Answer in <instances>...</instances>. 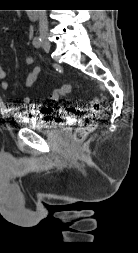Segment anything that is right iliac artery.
I'll return each mask as SVG.
<instances>
[{
  "label": "right iliac artery",
  "mask_w": 138,
  "mask_h": 253,
  "mask_svg": "<svg viewBox=\"0 0 138 253\" xmlns=\"http://www.w3.org/2000/svg\"><path fill=\"white\" fill-rule=\"evenodd\" d=\"M33 45L36 47V48H40L42 46V39L40 37H35L33 39Z\"/></svg>",
  "instance_id": "right-iliac-artery-1"
}]
</instances>
